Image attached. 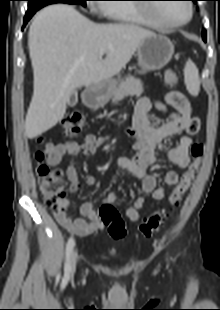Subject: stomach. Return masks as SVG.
I'll return each instance as SVG.
<instances>
[{"mask_svg":"<svg viewBox=\"0 0 220 310\" xmlns=\"http://www.w3.org/2000/svg\"><path fill=\"white\" fill-rule=\"evenodd\" d=\"M138 65L142 71L159 70L166 66L174 54V46L169 38L163 35H152L146 37L138 46ZM116 87L115 80H108L97 87L86 91L88 95L84 102L91 107L104 105Z\"/></svg>","mask_w":220,"mask_h":310,"instance_id":"0dacf381","label":"stomach"}]
</instances>
